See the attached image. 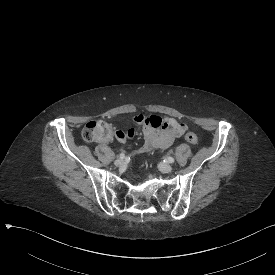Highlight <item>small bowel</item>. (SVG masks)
Instances as JSON below:
<instances>
[{
  "instance_id": "1",
  "label": "small bowel",
  "mask_w": 275,
  "mask_h": 275,
  "mask_svg": "<svg viewBox=\"0 0 275 275\" xmlns=\"http://www.w3.org/2000/svg\"><path fill=\"white\" fill-rule=\"evenodd\" d=\"M133 121L136 125L143 127V143L137 149L138 154L168 148L175 138L182 136L187 130L186 124L173 118L162 119L159 114L153 116L137 114L134 116ZM135 135L136 130L134 128L128 129L127 132L120 129L116 133L117 138L120 140L133 138Z\"/></svg>"
}]
</instances>
